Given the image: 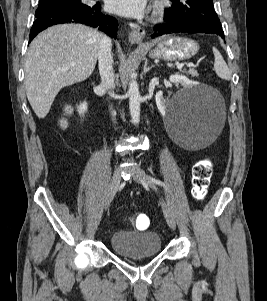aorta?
I'll list each match as a JSON object with an SVG mask.
<instances>
[{
	"mask_svg": "<svg viewBox=\"0 0 267 301\" xmlns=\"http://www.w3.org/2000/svg\"><path fill=\"white\" fill-rule=\"evenodd\" d=\"M128 96H129V109L132 118V123L136 125L140 121L141 96L139 92L138 83L134 78H132L131 81L129 82Z\"/></svg>",
	"mask_w": 267,
	"mask_h": 301,
	"instance_id": "762f6f07",
	"label": "aorta"
}]
</instances>
